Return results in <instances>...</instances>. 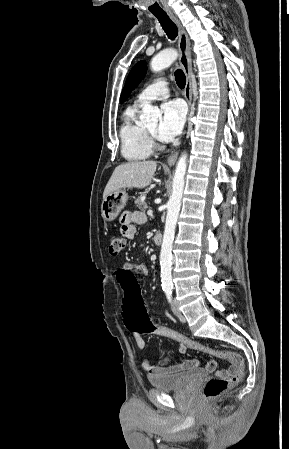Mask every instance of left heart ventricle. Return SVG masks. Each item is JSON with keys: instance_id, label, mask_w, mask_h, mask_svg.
Wrapping results in <instances>:
<instances>
[{"instance_id": "obj_1", "label": "left heart ventricle", "mask_w": 289, "mask_h": 449, "mask_svg": "<svg viewBox=\"0 0 289 449\" xmlns=\"http://www.w3.org/2000/svg\"><path fill=\"white\" fill-rule=\"evenodd\" d=\"M148 130L151 131L153 134L157 135L158 125L155 123L148 127Z\"/></svg>"}]
</instances>
